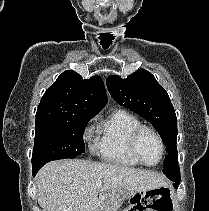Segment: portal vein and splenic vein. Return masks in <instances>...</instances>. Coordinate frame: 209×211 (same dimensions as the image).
Returning a JSON list of instances; mask_svg holds the SVG:
<instances>
[{"label": "portal vein and splenic vein", "instance_id": "obj_1", "mask_svg": "<svg viewBox=\"0 0 209 211\" xmlns=\"http://www.w3.org/2000/svg\"><path fill=\"white\" fill-rule=\"evenodd\" d=\"M101 185H102V181H101V180H97V181H96V186H97V187H100Z\"/></svg>", "mask_w": 209, "mask_h": 211}]
</instances>
